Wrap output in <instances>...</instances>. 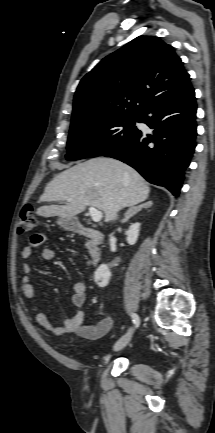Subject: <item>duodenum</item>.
I'll return each instance as SVG.
<instances>
[{"label":"duodenum","instance_id":"410a0bca","mask_svg":"<svg viewBox=\"0 0 215 433\" xmlns=\"http://www.w3.org/2000/svg\"><path fill=\"white\" fill-rule=\"evenodd\" d=\"M69 229L80 236L88 238L90 261L93 265H97L101 259V250L98 246L101 240V235L95 230L87 228L77 219H71L69 221Z\"/></svg>","mask_w":215,"mask_h":433}]
</instances>
